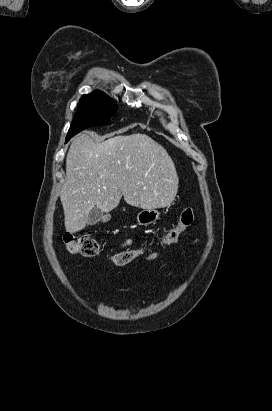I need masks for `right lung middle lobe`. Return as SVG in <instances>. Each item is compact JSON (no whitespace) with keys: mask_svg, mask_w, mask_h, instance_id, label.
Segmentation results:
<instances>
[{"mask_svg":"<svg viewBox=\"0 0 272 411\" xmlns=\"http://www.w3.org/2000/svg\"><path fill=\"white\" fill-rule=\"evenodd\" d=\"M116 110V103L100 91L83 95L67 134V140L86 128L108 123Z\"/></svg>","mask_w":272,"mask_h":411,"instance_id":"obj_1","label":"right lung middle lobe"}]
</instances>
